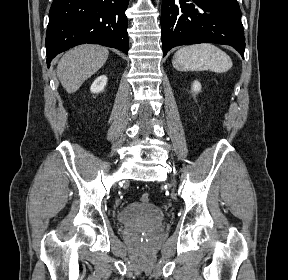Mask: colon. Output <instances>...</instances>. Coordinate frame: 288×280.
Here are the masks:
<instances>
[{
    "label": "colon",
    "mask_w": 288,
    "mask_h": 280,
    "mask_svg": "<svg viewBox=\"0 0 288 280\" xmlns=\"http://www.w3.org/2000/svg\"><path fill=\"white\" fill-rule=\"evenodd\" d=\"M141 201L144 203H149L151 201V196L149 193H144L141 197Z\"/></svg>",
    "instance_id": "5ec220e1"
}]
</instances>
